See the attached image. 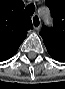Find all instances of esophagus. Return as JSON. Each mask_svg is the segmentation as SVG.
<instances>
[{"mask_svg":"<svg viewBox=\"0 0 65 89\" xmlns=\"http://www.w3.org/2000/svg\"><path fill=\"white\" fill-rule=\"evenodd\" d=\"M32 23H33V26L36 30H39L40 26H41V19L39 17L38 14H34L32 16Z\"/></svg>","mask_w":65,"mask_h":89,"instance_id":"esophagus-1","label":"esophagus"}]
</instances>
